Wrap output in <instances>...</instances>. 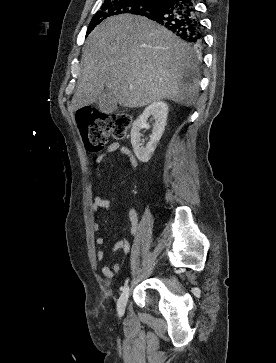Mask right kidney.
I'll return each instance as SVG.
<instances>
[{"mask_svg":"<svg viewBox=\"0 0 276 363\" xmlns=\"http://www.w3.org/2000/svg\"><path fill=\"white\" fill-rule=\"evenodd\" d=\"M167 114V104L165 102L158 101L146 107L143 113L134 121L131 129V144L139 161L147 163L152 157V154L154 153L156 146L165 130ZM151 115L154 117L155 123L150 136V141L144 146L141 143L140 131Z\"/></svg>","mask_w":276,"mask_h":363,"instance_id":"obj_1","label":"right kidney"}]
</instances>
